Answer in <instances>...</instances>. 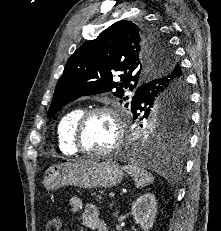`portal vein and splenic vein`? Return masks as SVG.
Masks as SVG:
<instances>
[{
    "mask_svg": "<svg viewBox=\"0 0 221 231\" xmlns=\"http://www.w3.org/2000/svg\"><path fill=\"white\" fill-rule=\"evenodd\" d=\"M110 198H114V196H115V193H109V195H108Z\"/></svg>",
    "mask_w": 221,
    "mask_h": 231,
    "instance_id": "18ae733b",
    "label": "portal vein and splenic vein"
}]
</instances>
